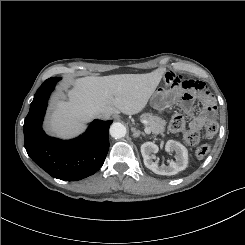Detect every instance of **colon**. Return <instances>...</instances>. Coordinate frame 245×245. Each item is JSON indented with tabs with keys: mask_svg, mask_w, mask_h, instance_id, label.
Listing matches in <instances>:
<instances>
[{
	"mask_svg": "<svg viewBox=\"0 0 245 245\" xmlns=\"http://www.w3.org/2000/svg\"><path fill=\"white\" fill-rule=\"evenodd\" d=\"M170 127L175 132L183 133L185 141L189 145H196L200 142L201 133L197 130H193L187 127L185 120L179 116L175 115L170 121ZM218 131V124L214 120H209L204 127V135L207 137L214 136ZM208 145H201L196 149V156L199 159L204 158L209 153Z\"/></svg>",
	"mask_w": 245,
	"mask_h": 245,
	"instance_id": "5ec220e1",
	"label": "colon"
}]
</instances>
